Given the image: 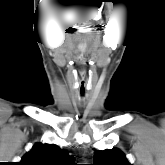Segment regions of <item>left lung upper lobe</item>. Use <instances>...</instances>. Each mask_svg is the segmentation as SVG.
Wrapping results in <instances>:
<instances>
[{
	"mask_svg": "<svg viewBox=\"0 0 165 165\" xmlns=\"http://www.w3.org/2000/svg\"><path fill=\"white\" fill-rule=\"evenodd\" d=\"M93 165H131L118 149L96 150Z\"/></svg>",
	"mask_w": 165,
	"mask_h": 165,
	"instance_id": "5c2ea615",
	"label": "left lung upper lobe"
}]
</instances>
